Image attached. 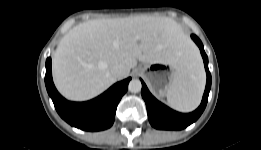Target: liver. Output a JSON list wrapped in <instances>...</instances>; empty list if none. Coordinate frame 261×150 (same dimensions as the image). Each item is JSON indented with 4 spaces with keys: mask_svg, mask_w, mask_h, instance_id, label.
I'll use <instances>...</instances> for the list:
<instances>
[{
    "mask_svg": "<svg viewBox=\"0 0 261 150\" xmlns=\"http://www.w3.org/2000/svg\"><path fill=\"white\" fill-rule=\"evenodd\" d=\"M196 50L180 25L168 17L136 16L90 20L72 28L53 54L54 82L69 100L91 99L112 84L115 64L137 61L183 70Z\"/></svg>",
    "mask_w": 261,
    "mask_h": 150,
    "instance_id": "6515ba94",
    "label": "liver"
}]
</instances>
